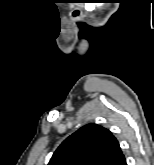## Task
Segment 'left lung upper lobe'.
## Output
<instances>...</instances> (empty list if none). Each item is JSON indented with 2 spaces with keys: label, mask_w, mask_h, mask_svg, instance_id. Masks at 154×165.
<instances>
[{
  "label": "left lung upper lobe",
  "mask_w": 154,
  "mask_h": 165,
  "mask_svg": "<svg viewBox=\"0 0 154 165\" xmlns=\"http://www.w3.org/2000/svg\"><path fill=\"white\" fill-rule=\"evenodd\" d=\"M123 157L108 129L87 124L62 142L48 165H117Z\"/></svg>",
  "instance_id": "left-lung-upper-lobe-1"
}]
</instances>
